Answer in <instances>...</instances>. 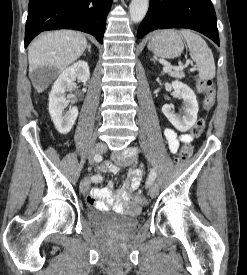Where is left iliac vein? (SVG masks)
<instances>
[{
    "label": "left iliac vein",
    "mask_w": 247,
    "mask_h": 275,
    "mask_svg": "<svg viewBox=\"0 0 247 275\" xmlns=\"http://www.w3.org/2000/svg\"><path fill=\"white\" fill-rule=\"evenodd\" d=\"M134 147H127L125 148L122 152H116L112 154V159L115 161L120 166H128L132 163L133 161V156L135 154L129 155L130 151ZM158 193V188L156 184H151L149 188V195L151 197H155Z\"/></svg>",
    "instance_id": "4c4485c4"
}]
</instances>
